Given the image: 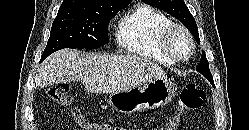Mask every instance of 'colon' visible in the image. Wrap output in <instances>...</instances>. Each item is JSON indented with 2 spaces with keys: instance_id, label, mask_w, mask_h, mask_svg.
<instances>
[{
  "instance_id": "1",
  "label": "colon",
  "mask_w": 249,
  "mask_h": 130,
  "mask_svg": "<svg viewBox=\"0 0 249 130\" xmlns=\"http://www.w3.org/2000/svg\"><path fill=\"white\" fill-rule=\"evenodd\" d=\"M47 97L56 104L68 106L71 104L70 87L68 84H57L47 90ZM205 101V92L195 83H187L180 92L179 110L195 111L202 107ZM76 121L82 130H143L140 128L111 125L97 121H91L81 115H77ZM179 118L172 117L163 124L150 130H177Z\"/></svg>"
}]
</instances>
